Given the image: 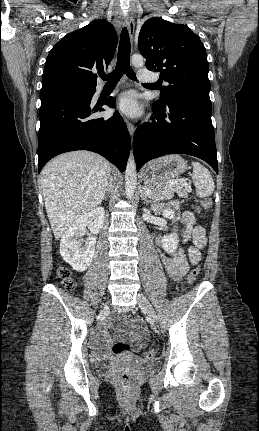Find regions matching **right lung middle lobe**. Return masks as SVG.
Listing matches in <instances>:
<instances>
[{
  "mask_svg": "<svg viewBox=\"0 0 259 431\" xmlns=\"http://www.w3.org/2000/svg\"><path fill=\"white\" fill-rule=\"evenodd\" d=\"M89 91L91 89H80L66 84H57L41 90L40 98L43 100L64 93H86Z\"/></svg>",
  "mask_w": 259,
  "mask_h": 431,
  "instance_id": "dd1d6c3e",
  "label": "right lung middle lobe"
}]
</instances>
